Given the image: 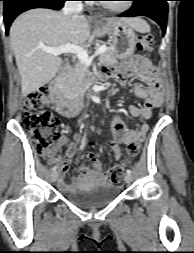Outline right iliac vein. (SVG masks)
<instances>
[{
    "label": "right iliac vein",
    "instance_id": "1",
    "mask_svg": "<svg viewBox=\"0 0 194 253\" xmlns=\"http://www.w3.org/2000/svg\"><path fill=\"white\" fill-rule=\"evenodd\" d=\"M50 177H51L52 182H55L57 180V177H58L57 172H53Z\"/></svg>",
    "mask_w": 194,
    "mask_h": 253
}]
</instances>
